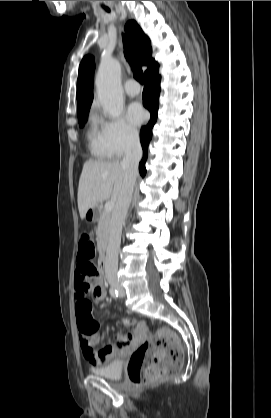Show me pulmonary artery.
I'll return each mask as SVG.
<instances>
[{"label":"pulmonary artery","mask_w":271,"mask_h":418,"mask_svg":"<svg viewBox=\"0 0 271 418\" xmlns=\"http://www.w3.org/2000/svg\"><path fill=\"white\" fill-rule=\"evenodd\" d=\"M124 90L125 93L131 97L137 96L140 93V87L138 83L134 80L127 81Z\"/></svg>","instance_id":"pulmonary-artery-1"}]
</instances>
